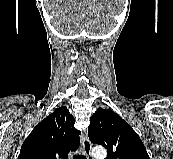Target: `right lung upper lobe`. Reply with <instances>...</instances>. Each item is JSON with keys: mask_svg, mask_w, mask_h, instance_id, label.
Returning a JSON list of instances; mask_svg holds the SVG:
<instances>
[{"mask_svg": "<svg viewBox=\"0 0 173 159\" xmlns=\"http://www.w3.org/2000/svg\"><path fill=\"white\" fill-rule=\"evenodd\" d=\"M75 119L62 106L43 119L22 144L18 159H67L79 146Z\"/></svg>", "mask_w": 173, "mask_h": 159, "instance_id": "cb5924a9", "label": "right lung upper lobe"}]
</instances>
